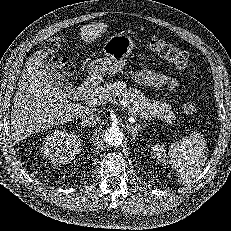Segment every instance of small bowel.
<instances>
[{
	"label": "small bowel",
	"mask_w": 231,
	"mask_h": 231,
	"mask_svg": "<svg viewBox=\"0 0 231 231\" xmlns=\"http://www.w3.org/2000/svg\"><path fill=\"white\" fill-rule=\"evenodd\" d=\"M133 79L139 84L157 89L172 90L177 86V81L174 77L156 71L152 68H142L134 73Z\"/></svg>",
	"instance_id": "obj_1"
}]
</instances>
